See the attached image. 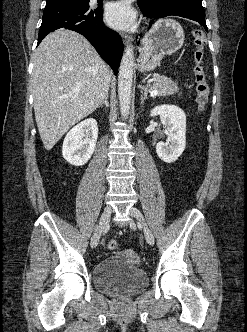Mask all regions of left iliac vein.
<instances>
[{"mask_svg": "<svg viewBox=\"0 0 247 332\" xmlns=\"http://www.w3.org/2000/svg\"><path fill=\"white\" fill-rule=\"evenodd\" d=\"M129 215H130V217H134L139 223L142 224L147 243L149 245H154V241H155L154 236H153L152 232L150 231V229L147 227L144 216L141 213V211L135 207H131L129 210Z\"/></svg>", "mask_w": 247, "mask_h": 332, "instance_id": "1", "label": "left iliac vein"}]
</instances>
